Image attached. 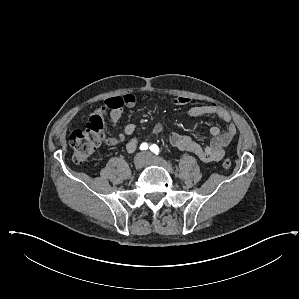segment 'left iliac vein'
<instances>
[{
  "label": "left iliac vein",
  "instance_id": "1",
  "mask_svg": "<svg viewBox=\"0 0 299 299\" xmlns=\"http://www.w3.org/2000/svg\"><path fill=\"white\" fill-rule=\"evenodd\" d=\"M144 156L146 157V164L147 165L160 166V167H163L164 169H166L169 173L174 172L173 167L168 162H166L165 160H163L161 158H158V157H154L148 152H146L144 154Z\"/></svg>",
  "mask_w": 299,
  "mask_h": 299
}]
</instances>
